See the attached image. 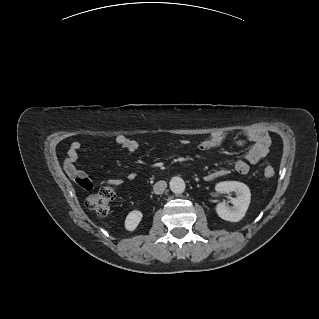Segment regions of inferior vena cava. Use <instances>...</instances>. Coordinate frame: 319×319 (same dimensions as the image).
<instances>
[{
    "label": "inferior vena cava",
    "mask_w": 319,
    "mask_h": 319,
    "mask_svg": "<svg viewBox=\"0 0 319 319\" xmlns=\"http://www.w3.org/2000/svg\"><path fill=\"white\" fill-rule=\"evenodd\" d=\"M167 188V183L163 180L156 182L153 186V191L155 194H162Z\"/></svg>",
    "instance_id": "1"
}]
</instances>
